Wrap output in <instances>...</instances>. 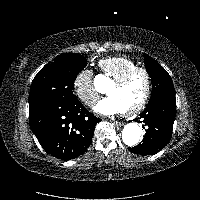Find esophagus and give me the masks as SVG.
<instances>
[{"instance_id": "34e87169", "label": "esophagus", "mask_w": 200, "mask_h": 200, "mask_svg": "<svg viewBox=\"0 0 200 200\" xmlns=\"http://www.w3.org/2000/svg\"><path fill=\"white\" fill-rule=\"evenodd\" d=\"M114 124H115L116 126H118V127H121V126L124 125L123 122H118V121H115Z\"/></svg>"}]
</instances>
